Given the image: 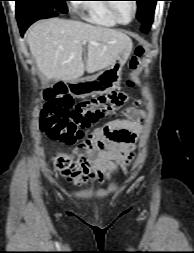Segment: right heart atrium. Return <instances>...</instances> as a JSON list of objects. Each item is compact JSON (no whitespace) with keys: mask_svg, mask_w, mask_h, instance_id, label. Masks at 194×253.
Returning a JSON list of instances; mask_svg holds the SVG:
<instances>
[{"mask_svg":"<svg viewBox=\"0 0 194 253\" xmlns=\"http://www.w3.org/2000/svg\"><path fill=\"white\" fill-rule=\"evenodd\" d=\"M73 5H74V6H76L77 4H76V3H74Z\"/></svg>","mask_w":194,"mask_h":253,"instance_id":"right-heart-atrium-1","label":"right heart atrium"}]
</instances>
